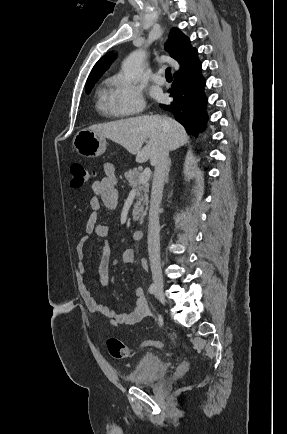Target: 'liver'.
<instances>
[{
	"mask_svg": "<svg viewBox=\"0 0 287 434\" xmlns=\"http://www.w3.org/2000/svg\"><path fill=\"white\" fill-rule=\"evenodd\" d=\"M162 120L167 122L163 129ZM96 134L123 146L129 153L136 155V161L151 165L160 148L162 139L167 137L169 150L173 151L189 141L185 129L174 119L160 115H143L115 122L93 125L89 128ZM146 145L143 147V144Z\"/></svg>",
	"mask_w": 287,
	"mask_h": 434,
	"instance_id": "6515ba94",
	"label": "liver"
}]
</instances>
